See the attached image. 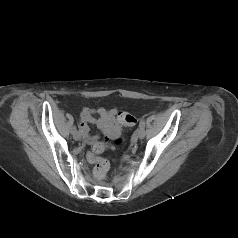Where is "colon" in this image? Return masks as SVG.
<instances>
[{"label":"colon","mask_w":238,"mask_h":238,"mask_svg":"<svg viewBox=\"0 0 238 238\" xmlns=\"http://www.w3.org/2000/svg\"><path fill=\"white\" fill-rule=\"evenodd\" d=\"M117 120L120 124L131 127L135 124L136 119L133 115L122 112L118 115ZM105 149V144L96 146L91 153L88 154V159L94 163V176L97 179H103L109 170V162L106 159L99 158L96 154L102 152Z\"/></svg>","instance_id":"5ec220e1"}]
</instances>
